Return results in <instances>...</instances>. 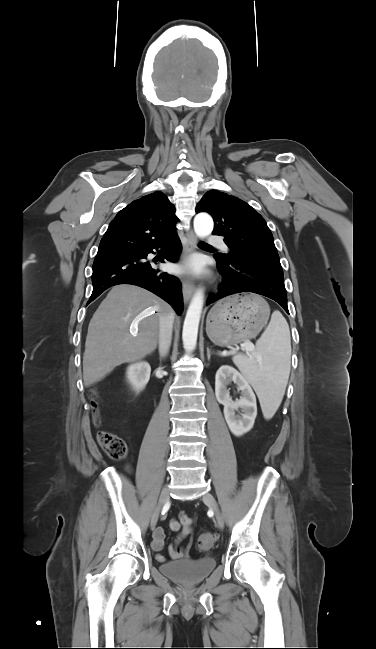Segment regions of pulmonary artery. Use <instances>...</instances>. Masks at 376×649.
<instances>
[{"label":"pulmonary artery","instance_id":"1","mask_svg":"<svg viewBox=\"0 0 376 649\" xmlns=\"http://www.w3.org/2000/svg\"><path fill=\"white\" fill-rule=\"evenodd\" d=\"M207 242L210 245H215V246H219V247H221L223 249H227V246L224 243L223 239L221 237H219V236H212L211 235V236L208 237Z\"/></svg>","mask_w":376,"mask_h":649}]
</instances>
